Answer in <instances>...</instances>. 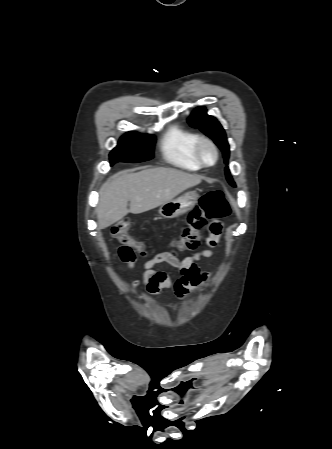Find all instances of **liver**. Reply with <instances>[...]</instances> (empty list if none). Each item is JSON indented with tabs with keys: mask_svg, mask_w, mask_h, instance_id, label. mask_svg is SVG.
I'll list each match as a JSON object with an SVG mask.
<instances>
[{
	"mask_svg": "<svg viewBox=\"0 0 332 449\" xmlns=\"http://www.w3.org/2000/svg\"><path fill=\"white\" fill-rule=\"evenodd\" d=\"M201 180L199 175L166 167L116 173L100 188L97 207L99 228L111 226L128 213L140 214L161 206L186 189L200 184Z\"/></svg>",
	"mask_w": 332,
	"mask_h": 449,
	"instance_id": "liver-1",
	"label": "liver"
}]
</instances>
